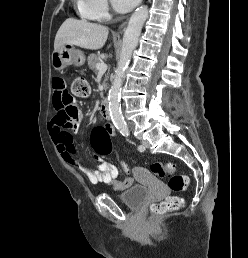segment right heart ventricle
<instances>
[{"label": "right heart ventricle", "mask_w": 248, "mask_h": 258, "mask_svg": "<svg viewBox=\"0 0 248 258\" xmlns=\"http://www.w3.org/2000/svg\"><path fill=\"white\" fill-rule=\"evenodd\" d=\"M75 5L78 14L85 20L97 19L93 12L90 10L88 0H75Z\"/></svg>", "instance_id": "right-heart-ventricle-1"}]
</instances>
